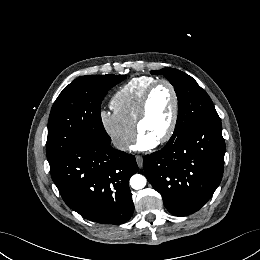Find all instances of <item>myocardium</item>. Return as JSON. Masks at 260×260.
<instances>
[{
  "mask_svg": "<svg viewBox=\"0 0 260 260\" xmlns=\"http://www.w3.org/2000/svg\"><path fill=\"white\" fill-rule=\"evenodd\" d=\"M162 85L167 86L171 91V94L173 96V112H172V116H171L170 125H169L166 133L157 141V144H164V143L168 142L173 137L177 124H178L180 101H179L178 92H177L175 86L170 81H168L166 79H159V80L155 81L147 89V91L145 92V94L142 98V101H141V104L139 107V111L137 114L136 122H135L136 130L138 133H140V126H141L142 121L144 120V118L147 115L151 96L153 95L155 90L159 86H162Z\"/></svg>",
  "mask_w": 260,
  "mask_h": 260,
  "instance_id": "f54148a6",
  "label": "myocardium"
}]
</instances>
